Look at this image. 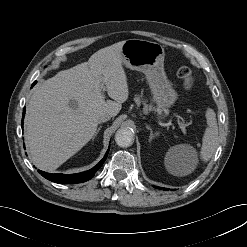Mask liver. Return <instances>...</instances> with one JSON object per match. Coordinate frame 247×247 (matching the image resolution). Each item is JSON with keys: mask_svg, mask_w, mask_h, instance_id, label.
<instances>
[{"mask_svg": "<svg viewBox=\"0 0 247 247\" xmlns=\"http://www.w3.org/2000/svg\"><path fill=\"white\" fill-rule=\"evenodd\" d=\"M123 44L102 48L88 62L60 71L36 87L25 116L26 146L36 167L54 171L91 140L101 114L114 117L120 112L129 95ZM105 90L113 101L105 100Z\"/></svg>", "mask_w": 247, "mask_h": 247, "instance_id": "6515ba94", "label": "liver"}]
</instances>
